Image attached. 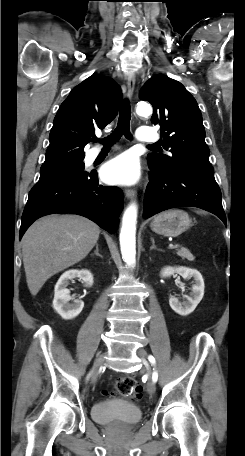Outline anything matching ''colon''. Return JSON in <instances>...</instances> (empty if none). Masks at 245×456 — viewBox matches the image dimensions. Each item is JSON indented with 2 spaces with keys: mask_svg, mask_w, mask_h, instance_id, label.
I'll return each instance as SVG.
<instances>
[{
  "mask_svg": "<svg viewBox=\"0 0 245 456\" xmlns=\"http://www.w3.org/2000/svg\"><path fill=\"white\" fill-rule=\"evenodd\" d=\"M113 393L121 394L133 400H139L143 395V387L129 375H122L115 380Z\"/></svg>",
  "mask_w": 245,
  "mask_h": 456,
  "instance_id": "1",
  "label": "colon"
}]
</instances>
